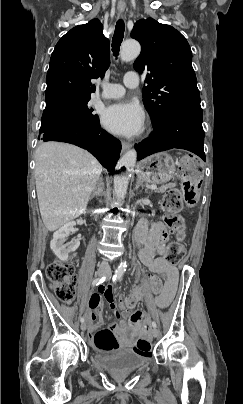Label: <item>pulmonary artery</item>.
I'll return each instance as SVG.
<instances>
[{"label": "pulmonary artery", "mask_w": 243, "mask_h": 404, "mask_svg": "<svg viewBox=\"0 0 243 404\" xmlns=\"http://www.w3.org/2000/svg\"><path fill=\"white\" fill-rule=\"evenodd\" d=\"M140 84V78L136 73H126L123 77V84L107 83L102 84V97L105 99H115L121 97L125 92V87L136 88Z\"/></svg>", "instance_id": "pulmonary-artery-1"}]
</instances>
